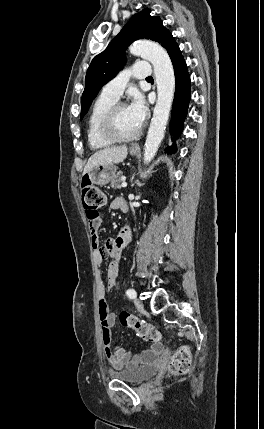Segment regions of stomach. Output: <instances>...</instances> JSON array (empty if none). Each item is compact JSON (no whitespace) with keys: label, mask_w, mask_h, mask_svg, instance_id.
Here are the masks:
<instances>
[{"label":"stomach","mask_w":264,"mask_h":429,"mask_svg":"<svg viewBox=\"0 0 264 429\" xmlns=\"http://www.w3.org/2000/svg\"><path fill=\"white\" fill-rule=\"evenodd\" d=\"M131 155H137L138 151L130 150ZM117 167L114 164L98 165L90 172L83 175L82 179L90 181L92 184L105 185L116 175Z\"/></svg>","instance_id":"obj_1"}]
</instances>
